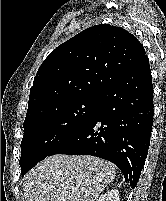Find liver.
<instances>
[{
  "instance_id": "1",
  "label": "liver",
  "mask_w": 166,
  "mask_h": 201,
  "mask_svg": "<svg viewBox=\"0 0 166 201\" xmlns=\"http://www.w3.org/2000/svg\"><path fill=\"white\" fill-rule=\"evenodd\" d=\"M115 166L87 155L45 158L24 178L25 201H96L115 179Z\"/></svg>"
}]
</instances>
